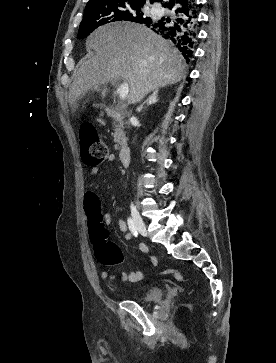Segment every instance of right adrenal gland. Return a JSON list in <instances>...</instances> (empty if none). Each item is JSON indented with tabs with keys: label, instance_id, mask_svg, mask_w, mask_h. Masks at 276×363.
Returning a JSON list of instances; mask_svg holds the SVG:
<instances>
[{
	"label": "right adrenal gland",
	"instance_id": "2a0ac1e0",
	"mask_svg": "<svg viewBox=\"0 0 276 363\" xmlns=\"http://www.w3.org/2000/svg\"><path fill=\"white\" fill-rule=\"evenodd\" d=\"M158 92H159V90H154L153 92H152V94L147 98V100L146 101H144L138 108H137V112L138 113H140L142 110H143V108H144V106L145 105H151V104H154V103H156V102H158Z\"/></svg>",
	"mask_w": 276,
	"mask_h": 363
}]
</instances>
